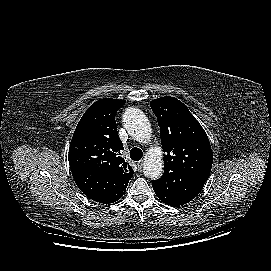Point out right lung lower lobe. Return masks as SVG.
<instances>
[{"label":"right lung lower lobe","instance_id":"1","mask_svg":"<svg viewBox=\"0 0 271 271\" xmlns=\"http://www.w3.org/2000/svg\"><path fill=\"white\" fill-rule=\"evenodd\" d=\"M72 175L75 183L86 196L104 204L119 200L128 185L119 178L91 171H74Z\"/></svg>","mask_w":271,"mask_h":271}]
</instances>
